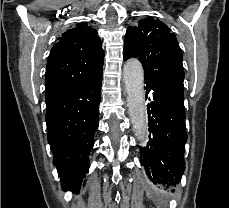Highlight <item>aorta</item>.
Masks as SVG:
<instances>
[{
	"mask_svg": "<svg viewBox=\"0 0 229 208\" xmlns=\"http://www.w3.org/2000/svg\"><path fill=\"white\" fill-rule=\"evenodd\" d=\"M123 77L133 130L137 139L144 141L148 135V126L144 93V71L141 63L137 59L128 60L123 68Z\"/></svg>",
	"mask_w": 229,
	"mask_h": 208,
	"instance_id": "1",
	"label": "aorta"
}]
</instances>
